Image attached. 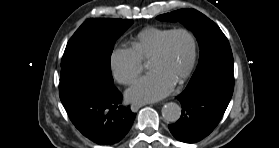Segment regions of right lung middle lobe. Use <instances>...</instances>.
<instances>
[{"instance_id":"1","label":"right lung middle lobe","mask_w":279,"mask_h":148,"mask_svg":"<svg viewBox=\"0 0 279 148\" xmlns=\"http://www.w3.org/2000/svg\"><path fill=\"white\" fill-rule=\"evenodd\" d=\"M133 24V20L96 18L86 20L69 40L66 50L80 48L95 58L101 76L113 84L110 57L116 40Z\"/></svg>"}]
</instances>
